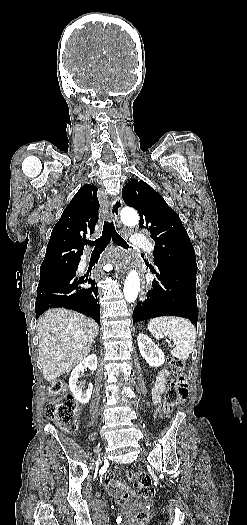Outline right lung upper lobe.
Listing matches in <instances>:
<instances>
[{"instance_id":"cb5924a9","label":"right lung upper lobe","mask_w":247,"mask_h":525,"mask_svg":"<svg viewBox=\"0 0 247 525\" xmlns=\"http://www.w3.org/2000/svg\"><path fill=\"white\" fill-rule=\"evenodd\" d=\"M97 190L93 185H84L74 195L52 230L40 269L56 259L77 258L83 254L85 235L94 232L98 220Z\"/></svg>"}]
</instances>
